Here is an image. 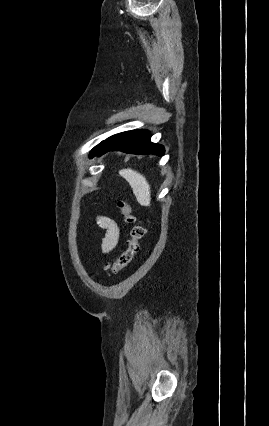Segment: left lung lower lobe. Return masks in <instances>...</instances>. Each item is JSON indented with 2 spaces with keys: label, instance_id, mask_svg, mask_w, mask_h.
I'll list each match as a JSON object with an SVG mask.
<instances>
[{
  "label": "left lung lower lobe",
  "instance_id": "left-lung-lower-lobe-1",
  "mask_svg": "<svg viewBox=\"0 0 269 426\" xmlns=\"http://www.w3.org/2000/svg\"><path fill=\"white\" fill-rule=\"evenodd\" d=\"M108 151H122L131 154H164V148L161 145L150 142L149 132L146 130H134L115 134L96 146L91 157Z\"/></svg>",
  "mask_w": 269,
  "mask_h": 426
}]
</instances>
